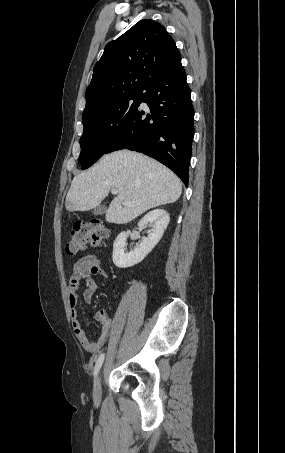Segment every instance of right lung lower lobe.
<instances>
[{
	"label": "right lung lower lobe",
	"instance_id": "right-lung-lower-lobe-1",
	"mask_svg": "<svg viewBox=\"0 0 285 453\" xmlns=\"http://www.w3.org/2000/svg\"><path fill=\"white\" fill-rule=\"evenodd\" d=\"M141 102L148 104L151 115L138 108L107 153L124 148L142 152L170 168L187 186L194 110L181 62L152 79Z\"/></svg>",
	"mask_w": 285,
	"mask_h": 453
}]
</instances>
